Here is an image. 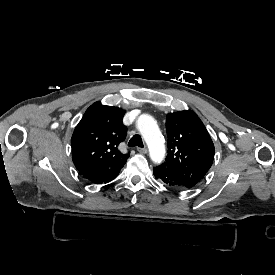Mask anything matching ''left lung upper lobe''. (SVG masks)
Masks as SVG:
<instances>
[{
  "label": "left lung upper lobe",
  "instance_id": "1",
  "mask_svg": "<svg viewBox=\"0 0 275 275\" xmlns=\"http://www.w3.org/2000/svg\"><path fill=\"white\" fill-rule=\"evenodd\" d=\"M168 155L161 166L176 176L186 188L196 185L210 169L214 144L204 124L191 110L166 117Z\"/></svg>",
  "mask_w": 275,
  "mask_h": 275
}]
</instances>
